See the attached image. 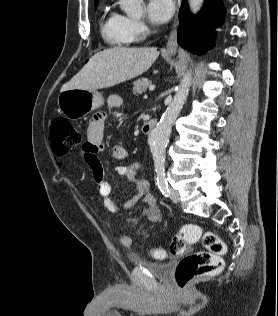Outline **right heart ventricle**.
<instances>
[{
	"mask_svg": "<svg viewBox=\"0 0 278 316\" xmlns=\"http://www.w3.org/2000/svg\"><path fill=\"white\" fill-rule=\"evenodd\" d=\"M100 30L105 42L111 46H124L132 41L126 31L124 16L114 11L109 4L103 8Z\"/></svg>",
	"mask_w": 278,
	"mask_h": 316,
	"instance_id": "e07e8e85",
	"label": "right heart ventricle"
}]
</instances>
